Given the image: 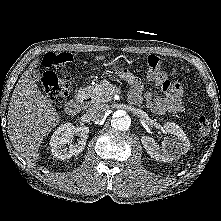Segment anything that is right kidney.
Masks as SVG:
<instances>
[{"mask_svg": "<svg viewBox=\"0 0 221 221\" xmlns=\"http://www.w3.org/2000/svg\"><path fill=\"white\" fill-rule=\"evenodd\" d=\"M89 127H75L67 122L59 126L50 138L51 152L54 157L61 160L71 158L80 154L86 145ZM79 135L77 143L71 144L74 135Z\"/></svg>", "mask_w": 221, "mask_h": 221, "instance_id": "right-kidney-1", "label": "right kidney"}]
</instances>
